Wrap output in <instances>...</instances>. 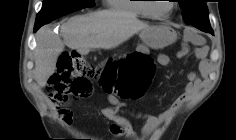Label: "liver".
<instances>
[{
	"label": "liver",
	"instance_id": "6515ba94",
	"mask_svg": "<svg viewBox=\"0 0 236 140\" xmlns=\"http://www.w3.org/2000/svg\"><path fill=\"white\" fill-rule=\"evenodd\" d=\"M149 28L133 14L107 10L70 18L60 30L63 40L50 27L44 26L36 33L35 80L40 87H45L65 45L83 54L90 49H112L139 31L144 40L143 33Z\"/></svg>",
	"mask_w": 236,
	"mask_h": 140
}]
</instances>
